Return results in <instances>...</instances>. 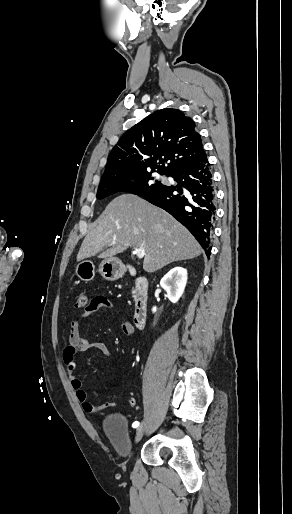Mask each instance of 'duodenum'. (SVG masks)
Returning a JSON list of instances; mask_svg holds the SVG:
<instances>
[{"mask_svg":"<svg viewBox=\"0 0 292 514\" xmlns=\"http://www.w3.org/2000/svg\"><path fill=\"white\" fill-rule=\"evenodd\" d=\"M129 273L135 276V301H134V322L137 328H143L147 319V310L149 304V282L146 277L136 276L132 267L128 269Z\"/></svg>","mask_w":292,"mask_h":514,"instance_id":"duodenum-1","label":"duodenum"}]
</instances>
